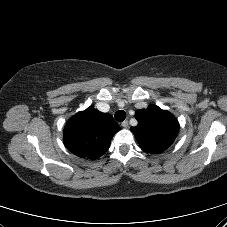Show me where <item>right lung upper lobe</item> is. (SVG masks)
<instances>
[{
    "label": "right lung upper lobe",
    "mask_w": 227,
    "mask_h": 227,
    "mask_svg": "<svg viewBox=\"0 0 227 227\" xmlns=\"http://www.w3.org/2000/svg\"><path fill=\"white\" fill-rule=\"evenodd\" d=\"M120 126L110 114L93 106L71 117L64 127V145L78 157L95 160L109 148Z\"/></svg>",
    "instance_id": "cb5924a9"
}]
</instances>
